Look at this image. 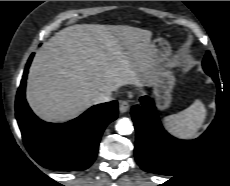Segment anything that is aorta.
Returning <instances> with one entry per match:
<instances>
[{
	"instance_id": "1",
	"label": "aorta",
	"mask_w": 230,
	"mask_h": 186,
	"mask_svg": "<svg viewBox=\"0 0 230 186\" xmlns=\"http://www.w3.org/2000/svg\"><path fill=\"white\" fill-rule=\"evenodd\" d=\"M115 128L121 135H129L134 130L131 120L125 117L117 121Z\"/></svg>"
}]
</instances>
